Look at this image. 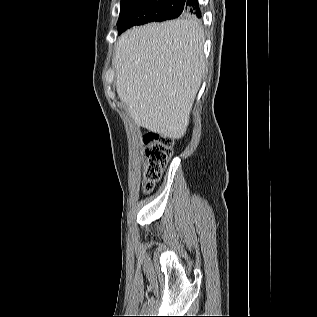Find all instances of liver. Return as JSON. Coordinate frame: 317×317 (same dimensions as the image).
<instances>
[{"label": "liver", "mask_w": 317, "mask_h": 317, "mask_svg": "<svg viewBox=\"0 0 317 317\" xmlns=\"http://www.w3.org/2000/svg\"><path fill=\"white\" fill-rule=\"evenodd\" d=\"M204 32L195 19L151 23L118 39L116 88L138 126L179 139L205 72Z\"/></svg>", "instance_id": "liver-1"}]
</instances>
